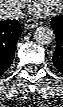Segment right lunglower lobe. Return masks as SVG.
<instances>
[{
	"instance_id": "right-lung-lower-lobe-1",
	"label": "right lung lower lobe",
	"mask_w": 63,
	"mask_h": 107,
	"mask_svg": "<svg viewBox=\"0 0 63 107\" xmlns=\"http://www.w3.org/2000/svg\"><path fill=\"white\" fill-rule=\"evenodd\" d=\"M22 30L17 20L0 21V76L10 67Z\"/></svg>"
}]
</instances>
